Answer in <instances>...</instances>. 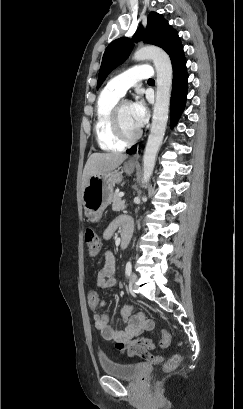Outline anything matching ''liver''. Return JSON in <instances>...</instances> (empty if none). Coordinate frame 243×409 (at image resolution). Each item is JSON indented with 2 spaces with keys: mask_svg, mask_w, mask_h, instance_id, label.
<instances>
[{
  "mask_svg": "<svg viewBox=\"0 0 243 409\" xmlns=\"http://www.w3.org/2000/svg\"><path fill=\"white\" fill-rule=\"evenodd\" d=\"M127 158L122 153H93L87 159L82 176V189L94 175L104 174L118 168Z\"/></svg>",
  "mask_w": 243,
  "mask_h": 409,
  "instance_id": "liver-1",
  "label": "liver"
}]
</instances>
